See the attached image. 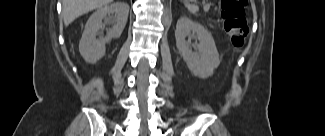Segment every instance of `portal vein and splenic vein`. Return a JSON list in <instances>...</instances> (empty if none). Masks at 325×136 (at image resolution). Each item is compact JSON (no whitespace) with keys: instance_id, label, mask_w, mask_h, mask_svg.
Listing matches in <instances>:
<instances>
[{"instance_id":"18ae733b","label":"portal vein and splenic vein","mask_w":325,"mask_h":136,"mask_svg":"<svg viewBox=\"0 0 325 136\" xmlns=\"http://www.w3.org/2000/svg\"><path fill=\"white\" fill-rule=\"evenodd\" d=\"M210 8V4H206L204 5V11L207 12Z\"/></svg>"}]
</instances>
